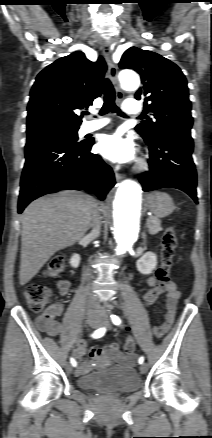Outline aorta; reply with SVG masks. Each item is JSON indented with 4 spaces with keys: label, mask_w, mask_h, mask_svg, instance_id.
Segmentation results:
<instances>
[{
    "label": "aorta",
    "mask_w": 212,
    "mask_h": 438,
    "mask_svg": "<svg viewBox=\"0 0 212 438\" xmlns=\"http://www.w3.org/2000/svg\"><path fill=\"white\" fill-rule=\"evenodd\" d=\"M121 86L134 91L140 85L139 76L132 71L119 74ZM141 186L133 180L120 183L114 195L112 205V233L117 243L114 255H124L130 251L140 233Z\"/></svg>",
    "instance_id": "1"
}]
</instances>
